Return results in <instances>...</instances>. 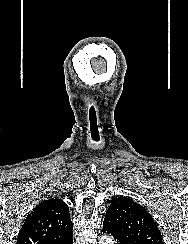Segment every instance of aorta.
Instances as JSON below:
<instances>
[{"mask_svg":"<svg viewBox=\"0 0 188 244\" xmlns=\"http://www.w3.org/2000/svg\"><path fill=\"white\" fill-rule=\"evenodd\" d=\"M100 244H113L112 238L108 235H104L100 240Z\"/></svg>","mask_w":188,"mask_h":244,"instance_id":"aorta-1","label":"aorta"}]
</instances>
